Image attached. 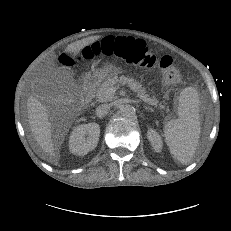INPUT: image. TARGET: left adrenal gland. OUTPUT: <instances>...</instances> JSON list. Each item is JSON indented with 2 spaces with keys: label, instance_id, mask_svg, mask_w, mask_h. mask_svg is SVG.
<instances>
[{
  "label": "left adrenal gland",
  "instance_id": "left-adrenal-gland-1",
  "mask_svg": "<svg viewBox=\"0 0 231 231\" xmlns=\"http://www.w3.org/2000/svg\"><path fill=\"white\" fill-rule=\"evenodd\" d=\"M144 108H145L146 110L153 111L150 107L144 106Z\"/></svg>",
  "mask_w": 231,
  "mask_h": 231
}]
</instances>
